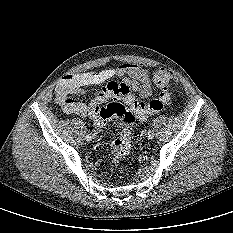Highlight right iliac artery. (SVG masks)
Masks as SVG:
<instances>
[{
    "label": "right iliac artery",
    "instance_id": "82829eb1",
    "mask_svg": "<svg viewBox=\"0 0 233 233\" xmlns=\"http://www.w3.org/2000/svg\"><path fill=\"white\" fill-rule=\"evenodd\" d=\"M86 139H87V141H90L91 140V136L89 134L86 135Z\"/></svg>",
    "mask_w": 233,
    "mask_h": 233
}]
</instances>
